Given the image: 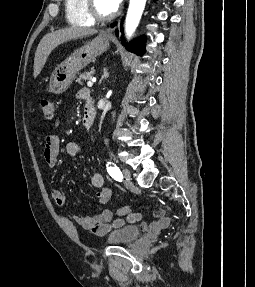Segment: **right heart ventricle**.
I'll return each mask as SVG.
<instances>
[{"instance_id": "obj_1", "label": "right heart ventricle", "mask_w": 255, "mask_h": 287, "mask_svg": "<svg viewBox=\"0 0 255 287\" xmlns=\"http://www.w3.org/2000/svg\"><path fill=\"white\" fill-rule=\"evenodd\" d=\"M82 33H87V32H82ZM87 39H95V38H87Z\"/></svg>"}]
</instances>
